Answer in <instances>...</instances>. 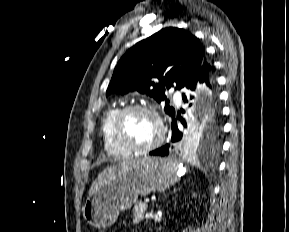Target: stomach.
<instances>
[{
  "label": "stomach",
  "mask_w": 289,
  "mask_h": 232,
  "mask_svg": "<svg viewBox=\"0 0 289 232\" xmlns=\"http://www.w3.org/2000/svg\"><path fill=\"white\" fill-rule=\"evenodd\" d=\"M176 170L170 158L140 159L87 198L82 209L85 220L98 229L111 226L119 212L129 209L139 196L174 185L178 181Z\"/></svg>",
  "instance_id": "1"
}]
</instances>
